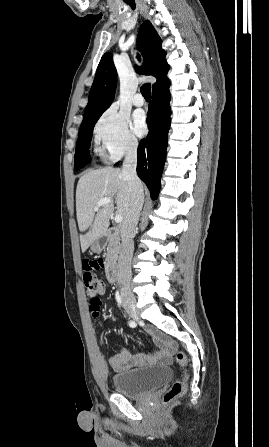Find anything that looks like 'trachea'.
Returning <instances> with one entry per match:
<instances>
[{
    "mask_svg": "<svg viewBox=\"0 0 269 447\" xmlns=\"http://www.w3.org/2000/svg\"><path fill=\"white\" fill-rule=\"evenodd\" d=\"M141 93L146 100L151 99V86L149 83H145L141 87Z\"/></svg>",
    "mask_w": 269,
    "mask_h": 447,
    "instance_id": "3493384b",
    "label": "trachea"
}]
</instances>
